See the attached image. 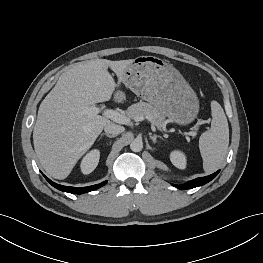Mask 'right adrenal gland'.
I'll use <instances>...</instances> for the list:
<instances>
[{
	"label": "right adrenal gland",
	"instance_id": "right-adrenal-gland-1",
	"mask_svg": "<svg viewBox=\"0 0 263 263\" xmlns=\"http://www.w3.org/2000/svg\"><path fill=\"white\" fill-rule=\"evenodd\" d=\"M101 136H107V137H109V138H113V137H115V136L110 135V134H107V133H102Z\"/></svg>",
	"mask_w": 263,
	"mask_h": 263
}]
</instances>
